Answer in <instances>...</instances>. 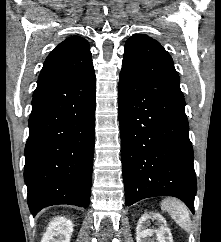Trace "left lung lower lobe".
<instances>
[{"instance_id": "0a47b994", "label": "left lung lower lobe", "mask_w": 221, "mask_h": 242, "mask_svg": "<svg viewBox=\"0 0 221 242\" xmlns=\"http://www.w3.org/2000/svg\"><path fill=\"white\" fill-rule=\"evenodd\" d=\"M184 108V97L156 89L122 67L118 114L127 206L174 196L194 213L197 181Z\"/></svg>"}]
</instances>
